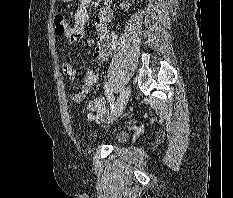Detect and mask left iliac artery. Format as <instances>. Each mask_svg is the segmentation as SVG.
Segmentation results:
<instances>
[{"label": "left iliac artery", "mask_w": 233, "mask_h": 198, "mask_svg": "<svg viewBox=\"0 0 233 198\" xmlns=\"http://www.w3.org/2000/svg\"><path fill=\"white\" fill-rule=\"evenodd\" d=\"M104 89H105V92L107 94V97H108V100L110 103L111 112H113L115 109V99H114V96L109 88V84L107 82H105V84H104Z\"/></svg>", "instance_id": "1"}]
</instances>
